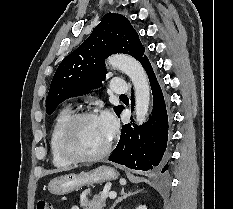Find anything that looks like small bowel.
<instances>
[{"mask_svg": "<svg viewBox=\"0 0 233 209\" xmlns=\"http://www.w3.org/2000/svg\"><path fill=\"white\" fill-rule=\"evenodd\" d=\"M71 209H82V208L79 206H73Z\"/></svg>", "mask_w": 233, "mask_h": 209, "instance_id": "small-bowel-1", "label": "small bowel"}]
</instances>
